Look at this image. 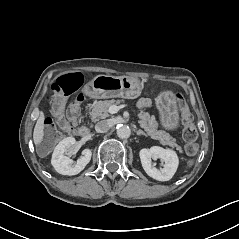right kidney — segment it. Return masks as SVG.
Wrapping results in <instances>:
<instances>
[{
	"instance_id": "obj_1",
	"label": "right kidney",
	"mask_w": 239,
	"mask_h": 239,
	"mask_svg": "<svg viewBox=\"0 0 239 239\" xmlns=\"http://www.w3.org/2000/svg\"><path fill=\"white\" fill-rule=\"evenodd\" d=\"M76 143L74 137H67L61 140L55 147L51 164L55 170L62 175H76L80 173L90 162L92 152L89 149L82 151V156L74 164L73 160L65 156V153L71 151Z\"/></svg>"
}]
</instances>
